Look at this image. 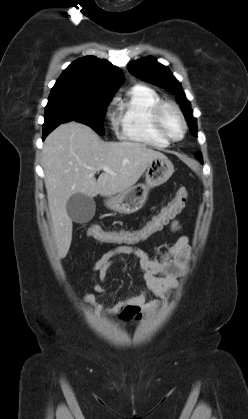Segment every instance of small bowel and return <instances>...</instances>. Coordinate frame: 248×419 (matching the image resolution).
Masks as SVG:
<instances>
[{"mask_svg":"<svg viewBox=\"0 0 248 419\" xmlns=\"http://www.w3.org/2000/svg\"><path fill=\"white\" fill-rule=\"evenodd\" d=\"M148 222L141 228L133 231H118L134 237V240L128 243H117L113 249L103 254L93 266L92 284L97 293L106 292L102 285L107 281L108 270L116 263H128V256L136 257L143 273L145 289L135 295L128 296L118 301L111 307H103L96 301L92 293H86L85 300L104 310L109 314H118L121 322L139 321L143 314H149L158 308L167 300L173 289L178 285V279L182 276L188 267L190 258V245L187 236H180L176 242L171 245L166 252L159 257L150 258L148 254L134 244L146 240L155 232L146 233ZM94 227V226H92ZM91 227V228H92ZM173 231L180 230V224L174 220L171 222ZM90 236V234H89ZM150 294L158 298L148 301Z\"/></svg>","mask_w":248,"mask_h":419,"instance_id":"c3829d8e","label":"small bowel"}]
</instances>
